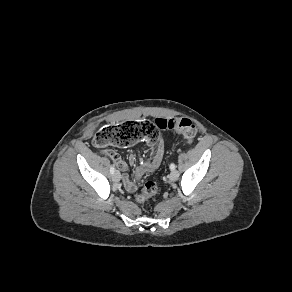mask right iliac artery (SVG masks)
Here are the masks:
<instances>
[{"label": "right iliac artery", "mask_w": 292, "mask_h": 292, "mask_svg": "<svg viewBox=\"0 0 292 292\" xmlns=\"http://www.w3.org/2000/svg\"><path fill=\"white\" fill-rule=\"evenodd\" d=\"M114 172H115V168H114V166L112 165V166L110 167V173H111V174H114Z\"/></svg>", "instance_id": "1"}]
</instances>
